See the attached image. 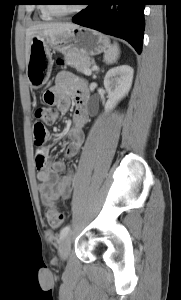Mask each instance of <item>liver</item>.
Here are the masks:
<instances>
[{
  "instance_id": "obj_1",
  "label": "liver",
  "mask_w": 181,
  "mask_h": 300,
  "mask_svg": "<svg viewBox=\"0 0 181 300\" xmlns=\"http://www.w3.org/2000/svg\"><path fill=\"white\" fill-rule=\"evenodd\" d=\"M73 23H39L31 26L26 31L25 40V60L26 66L29 60L30 46L33 37H57L66 31L76 28Z\"/></svg>"
}]
</instances>
